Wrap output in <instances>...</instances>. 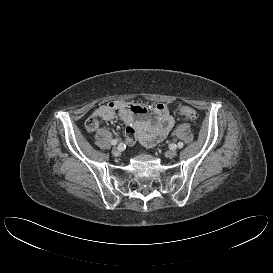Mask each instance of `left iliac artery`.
I'll return each mask as SVG.
<instances>
[{
    "instance_id": "1",
    "label": "left iliac artery",
    "mask_w": 273,
    "mask_h": 273,
    "mask_svg": "<svg viewBox=\"0 0 273 273\" xmlns=\"http://www.w3.org/2000/svg\"><path fill=\"white\" fill-rule=\"evenodd\" d=\"M177 146H178V148H182L183 147V143L182 142H178Z\"/></svg>"
}]
</instances>
